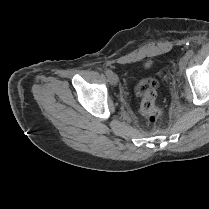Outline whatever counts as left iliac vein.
I'll list each match as a JSON object with an SVG mask.
<instances>
[{
    "label": "left iliac vein",
    "mask_w": 209,
    "mask_h": 209,
    "mask_svg": "<svg viewBox=\"0 0 209 209\" xmlns=\"http://www.w3.org/2000/svg\"><path fill=\"white\" fill-rule=\"evenodd\" d=\"M188 57L187 56H183L180 61H179V68L180 70H183L185 68V66L187 65L188 62Z\"/></svg>",
    "instance_id": "obj_1"
}]
</instances>
